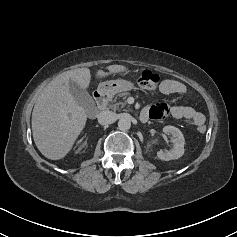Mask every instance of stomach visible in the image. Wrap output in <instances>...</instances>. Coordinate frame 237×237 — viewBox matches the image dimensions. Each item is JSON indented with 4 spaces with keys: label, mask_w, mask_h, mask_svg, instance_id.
Masks as SVG:
<instances>
[{
    "label": "stomach",
    "mask_w": 237,
    "mask_h": 237,
    "mask_svg": "<svg viewBox=\"0 0 237 237\" xmlns=\"http://www.w3.org/2000/svg\"><path fill=\"white\" fill-rule=\"evenodd\" d=\"M132 88L133 83L123 79H116L100 83L98 91L108 97H113L116 94L131 90Z\"/></svg>",
    "instance_id": "stomach-1"
}]
</instances>
